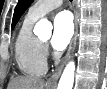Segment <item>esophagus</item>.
<instances>
[{"mask_svg":"<svg viewBox=\"0 0 107 89\" xmlns=\"http://www.w3.org/2000/svg\"><path fill=\"white\" fill-rule=\"evenodd\" d=\"M73 12H74V34L71 39V42L69 44L68 51L63 59L62 64L59 66V68L55 71V73L47 80V84L49 85H56L58 82V79L62 73V70L68 60L70 59L72 52L74 50L76 40H77V32H78V10H77V0L73 1Z\"/></svg>","mask_w":107,"mask_h":89,"instance_id":"34e87169","label":"esophagus"}]
</instances>
